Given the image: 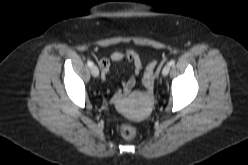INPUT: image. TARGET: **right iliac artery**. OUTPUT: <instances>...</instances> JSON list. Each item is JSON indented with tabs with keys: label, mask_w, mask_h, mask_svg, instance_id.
Segmentation results:
<instances>
[{
	"label": "right iliac artery",
	"mask_w": 248,
	"mask_h": 165,
	"mask_svg": "<svg viewBox=\"0 0 248 165\" xmlns=\"http://www.w3.org/2000/svg\"><path fill=\"white\" fill-rule=\"evenodd\" d=\"M87 65H88L89 67H92V66H93V62L87 61Z\"/></svg>",
	"instance_id": "82829eb1"
}]
</instances>
